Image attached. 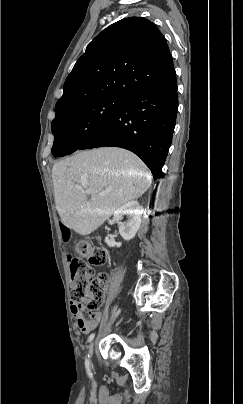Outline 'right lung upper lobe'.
<instances>
[{"label": "right lung upper lobe", "instance_id": "cb5924a9", "mask_svg": "<svg viewBox=\"0 0 243 404\" xmlns=\"http://www.w3.org/2000/svg\"><path fill=\"white\" fill-rule=\"evenodd\" d=\"M166 39L151 21L122 19L98 34L66 78L56 116L93 100L127 98L172 70Z\"/></svg>", "mask_w": 243, "mask_h": 404}]
</instances>
